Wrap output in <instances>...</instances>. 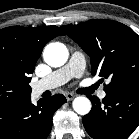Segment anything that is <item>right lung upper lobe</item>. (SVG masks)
<instances>
[{
	"mask_svg": "<svg viewBox=\"0 0 139 139\" xmlns=\"http://www.w3.org/2000/svg\"><path fill=\"white\" fill-rule=\"evenodd\" d=\"M64 32L57 26L7 27L0 30V56L16 62L26 76L34 67L47 42Z\"/></svg>",
	"mask_w": 139,
	"mask_h": 139,
	"instance_id": "obj_1",
	"label": "right lung upper lobe"
}]
</instances>
